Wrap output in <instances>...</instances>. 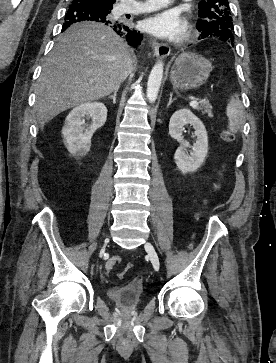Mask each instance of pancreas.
I'll list each match as a JSON object with an SVG mask.
<instances>
[{"label": "pancreas", "mask_w": 276, "mask_h": 363, "mask_svg": "<svg viewBox=\"0 0 276 363\" xmlns=\"http://www.w3.org/2000/svg\"><path fill=\"white\" fill-rule=\"evenodd\" d=\"M195 109L202 111V114H207L209 117L213 116L212 107L207 100H200Z\"/></svg>", "instance_id": "obj_1"}]
</instances>
